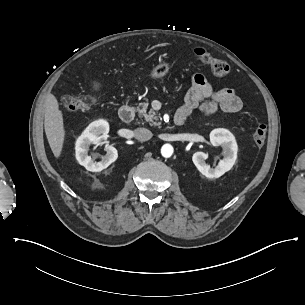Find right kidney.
Masks as SVG:
<instances>
[{"label":"right kidney","instance_id":"obj_1","mask_svg":"<svg viewBox=\"0 0 305 305\" xmlns=\"http://www.w3.org/2000/svg\"><path fill=\"white\" fill-rule=\"evenodd\" d=\"M92 127L93 129L91 131L88 128L87 131L77 140L76 158L79 164L84 166L88 171L100 172L117 160L118 153L113 146L107 145L106 155H95L94 158L100 159L99 162H95L92 157L88 155L89 146L98 145L102 139V136L106 137L109 127L108 124L103 121L98 122Z\"/></svg>","mask_w":305,"mask_h":305}]
</instances>
